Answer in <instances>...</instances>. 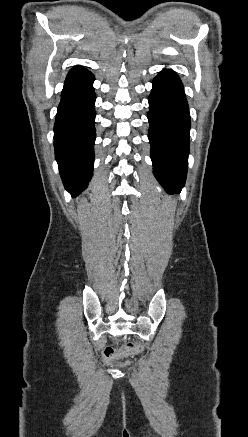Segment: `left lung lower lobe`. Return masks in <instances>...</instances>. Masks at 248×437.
I'll list each match as a JSON object with an SVG mask.
<instances>
[{
	"label": "left lung lower lobe",
	"instance_id": "1",
	"mask_svg": "<svg viewBox=\"0 0 248 437\" xmlns=\"http://www.w3.org/2000/svg\"><path fill=\"white\" fill-rule=\"evenodd\" d=\"M148 138L154 175L169 194L185 184L189 154L190 115L178 75L164 69L152 82Z\"/></svg>",
	"mask_w": 248,
	"mask_h": 437
}]
</instances>
